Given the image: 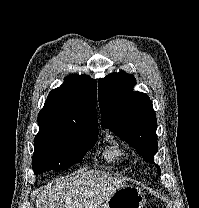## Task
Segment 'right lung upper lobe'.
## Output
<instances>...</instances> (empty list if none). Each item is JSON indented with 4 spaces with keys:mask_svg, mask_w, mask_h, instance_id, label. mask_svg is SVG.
Here are the masks:
<instances>
[{
    "mask_svg": "<svg viewBox=\"0 0 199 208\" xmlns=\"http://www.w3.org/2000/svg\"><path fill=\"white\" fill-rule=\"evenodd\" d=\"M97 85L87 75H70L64 84L52 90L39 112V125L61 128H97Z\"/></svg>",
    "mask_w": 199,
    "mask_h": 208,
    "instance_id": "obj_1",
    "label": "right lung upper lobe"
}]
</instances>
